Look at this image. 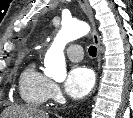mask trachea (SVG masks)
Masks as SVG:
<instances>
[{
  "label": "trachea",
  "mask_w": 133,
  "mask_h": 118,
  "mask_svg": "<svg viewBox=\"0 0 133 118\" xmlns=\"http://www.w3.org/2000/svg\"><path fill=\"white\" fill-rule=\"evenodd\" d=\"M88 52H89L90 56L95 57L96 53H97V49L95 46H90L88 49Z\"/></svg>",
  "instance_id": "trachea-1"
}]
</instances>
